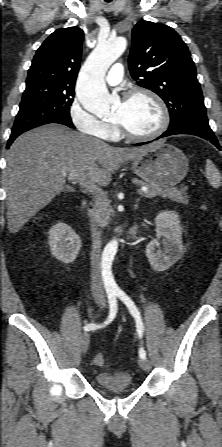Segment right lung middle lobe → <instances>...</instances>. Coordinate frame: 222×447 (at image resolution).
<instances>
[{"instance_id":"obj_1","label":"right lung middle lobe","mask_w":222,"mask_h":447,"mask_svg":"<svg viewBox=\"0 0 222 447\" xmlns=\"http://www.w3.org/2000/svg\"><path fill=\"white\" fill-rule=\"evenodd\" d=\"M73 87L36 86L26 88L12 133L26 131L56 120H71Z\"/></svg>"}]
</instances>
